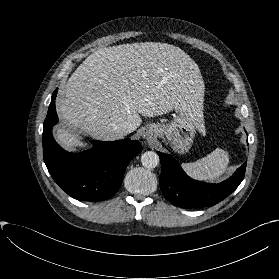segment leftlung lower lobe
Masks as SVG:
<instances>
[{"instance_id": "0a47b994", "label": "left lung lower lobe", "mask_w": 279, "mask_h": 279, "mask_svg": "<svg viewBox=\"0 0 279 279\" xmlns=\"http://www.w3.org/2000/svg\"><path fill=\"white\" fill-rule=\"evenodd\" d=\"M158 155L162 166L159 180L161 191L169 202L185 209L214 206L230 195L245 175L246 162L221 183H203L187 176L171 155L160 152Z\"/></svg>"}]
</instances>
